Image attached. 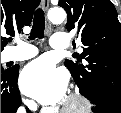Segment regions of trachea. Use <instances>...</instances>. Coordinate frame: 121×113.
I'll return each instance as SVG.
<instances>
[{
    "label": "trachea",
    "mask_w": 121,
    "mask_h": 113,
    "mask_svg": "<svg viewBox=\"0 0 121 113\" xmlns=\"http://www.w3.org/2000/svg\"><path fill=\"white\" fill-rule=\"evenodd\" d=\"M44 29H45L44 12L41 8H38L34 14L33 26L31 29L29 39L34 40L35 38H40V39L43 38Z\"/></svg>",
    "instance_id": "obj_1"
}]
</instances>
